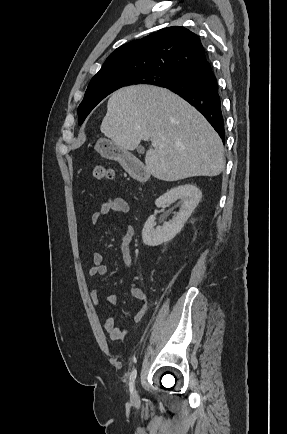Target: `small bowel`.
I'll use <instances>...</instances> for the list:
<instances>
[{
	"instance_id": "1",
	"label": "small bowel",
	"mask_w": 287,
	"mask_h": 434,
	"mask_svg": "<svg viewBox=\"0 0 287 434\" xmlns=\"http://www.w3.org/2000/svg\"><path fill=\"white\" fill-rule=\"evenodd\" d=\"M110 212H117L123 216H126L130 213V206L124 199L120 197H110L101 205L98 210H96L91 215L92 224L99 225L101 220ZM133 236L134 230L132 226L127 225L121 239V252L124 271H126L130 267L131 245L133 242ZM108 272V267L103 263L102 254L100 252H94L92 255V266L89 270V274L93 277L106 276ZM130 293L135 299H137L141 303L139 309L134 315V321L136 323H140L144 319L147 312L146 295L143 289L136 283V281L132 283ZM90 300L96 306L101 305V298L97 290H92L90 292ZM106 302L109 304H115L116 296H108L106 298ZM102 327L105 331L109 333L112 340H121L128 334L127 329L116 326L115 321L111 316H106L102 320Z\"/></svg>"
}]
</instances>
